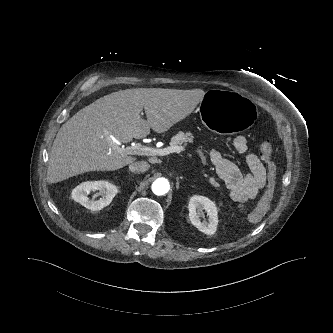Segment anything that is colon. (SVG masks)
Masks as SVG:
<instances>
[{
	"mask_svg": "<svg viewBox=\"0 0 333 333\" xmlns=\"http://www.w3.org/2000/svg\"><path fill=\"white\" fill-rule=\"evenodd\" d=\"M273 146L269 139L262 141L259 147V154L266 163L268 170L267 187L259 205L249 214L248 219L252 223L259 222L271 206L276 184V167L272 161Z\"/></svg>",
	"mask_w": 333,
	"mask_h": 333,
	"instance_id": "obj_1",
	"label": "colon"
}]
</instances>
